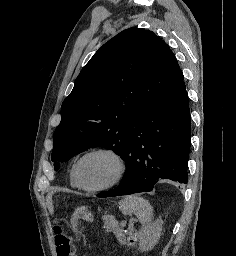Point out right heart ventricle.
I'll use <instances>...</instances> for the list:
<instances>
[{"mask_svg": "<svg viewBox=\"0 0 236 256\" xmlns=\"http://www.w3.org/2000/svg\"><path fill=\"white\" fill-rule=\"evenodd\" d=\"M78 158H75L69 167V183L71 185V187L73 188H80L77 178H76V174H75V168H76V163H77Z\"/></svg>", "mask_w": 236, "mask_h": 256, "instance_id": "e07e8e85", "label": "right heart ventricle"}]
</instances>
